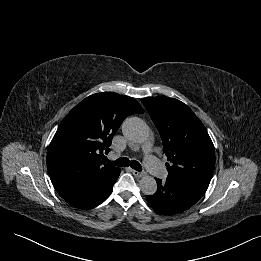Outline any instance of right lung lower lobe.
Instances as JSON below:
<instances>
[{"label":"right lung lower lobe","mask_w":261,"mask_h":261,"mask_svg":"<svg viewBox=\"0 0 261 261\" xmlns=\"http://www.w3.org/2000/svg\"><path fill=\"white\" fill-rule=\"evenodd\" d=\"M121 169L93 190L65 199L70 205L80 209H91L102 203L112 192Z\"/></svg>","instance_id":"obj_1"}]
</instances>
